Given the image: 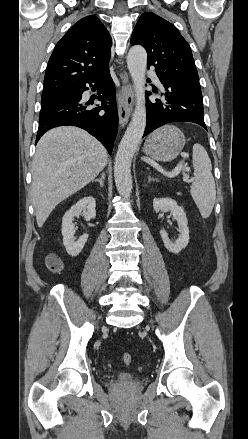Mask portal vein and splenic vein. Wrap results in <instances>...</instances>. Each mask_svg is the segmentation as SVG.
Masks as SVG:
<instances>
[{
    "instance_id": "1",
    "label": "portal vein and splenic vein",
    "mask_w": 248,
    "mask_h": 439,
    "mask_svg": "<svg viewBox=\"0 0 248 439\" xmlns=\"http://www.w3.org/2000/svg\"><path fill=\"white\" fill-rule=\"evenodd\" d=\"M189 171V167H184L182 163H179L171 172H164L169 176H175L180 173L182 170ZM185 181H189V177L187 175L184 176Z\"/></svg>"
}]
</instances>
